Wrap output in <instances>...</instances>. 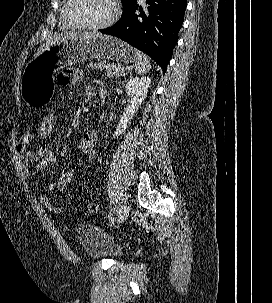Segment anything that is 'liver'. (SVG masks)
Returning <instances> with one entry per match:
<instances>
[{
    "label": "liver",
    "mask_w": 272,
    "mask_h": 303,
    "mask_svg": "<svg viewBox=\"0 0 272 303\" xmlns=\"http://www.w3.org/2000/svg\"><path fill=\"white\" fill-rule=\"evenodd\" d=\"M94 35H98V36H102L99 33L96 32H64V33H57L54 34L53 36L49 37L46 42L41 45L39 47V49L37 50L35 57H37L38 55H40L43 51H45L47 48H49L50 46L56 45L62 41L68 40V39H77V38H85V37H90V36H94Z\"/></svg>",
    "instance_id": "obj_1"
}]
</instances>
